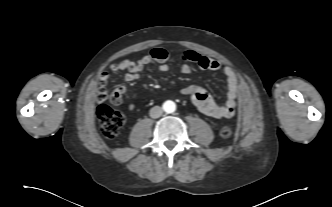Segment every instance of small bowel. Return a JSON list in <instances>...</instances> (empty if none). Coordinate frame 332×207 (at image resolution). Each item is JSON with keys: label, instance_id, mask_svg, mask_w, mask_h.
<instances>
[{"label": "small bowel", "instance_id": "small-bowel-1", "mask_svg": "<svg viewBox=\"0 0 332 207\" xmlns=\"http://www.w3.org/2000/svg\"><path fill=\"white\" fill-rule=\"evenodd\" d=\"M181 59L185 62L180 67V72L184 75L191 72L188 63H195L204 70L218 71L221 69V64L217 60L203 56L193 50L184 51L181 54ZM168 60L169 55L165 49L155 48L136 61L122 60L118 63L112 64L108 71L102 72L100 80L103 85H106L110 81L111 74L125 70L127 71L125 74V80L132 82L138 80L140 78V73L149 65L155 66L161 72H168ZM223 73L228 85L226 101L224 104L216 103L210 94L202 87L187 86L181 89V93L189 96L192 103L199 111L217 120L228 119L234 116L236 99L238 96V77L235 71L230 67H224ZM115 92L121 97L125 92V87L121 85L115 90ZM129 109L133 110L134 105L130 104Z\"/></svg>", "mask_w": 332, "mask_h": 207}]
</instances>
